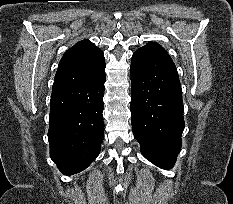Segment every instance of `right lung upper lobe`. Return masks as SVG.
<instances>
[{"label": "right lung upper lobe", "instance_id": "1", "mask_svg": "<svg viewBox=\"0 0 233 204\" xmlns=\"http://www.w3.org/2000/svg\"><path fill=\"white\" fill-rule=\"evenodd\" d=\"M105 65L102 50L82 40L67 50L55 75L53 90H62L92 78Z\"/></svg>", "mask_w": 233, "mask_h": 204}]
</instances>
